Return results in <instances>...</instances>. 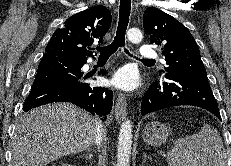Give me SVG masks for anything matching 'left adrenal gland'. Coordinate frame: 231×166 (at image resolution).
Returning a JSON list of instances; mask_svg holds the SVG:
<instances>
[{
  "instance_id": "1",
  "label": "left adrenal gland",
  "mask_w": 231,
  "mask_h": 166,
  "mask_svg": "<svg viewBox=\"0 0 231 166\" xmlns=\"http://www.w3.org/2000/svg\"><path fill=\"white\" fill-rule=\"evenodd\" d=\"M143 156H144V159H143V161H142V166H143V164L147 161V159L152 160V157L148 156L145 152H143Z\"/></svg>"
}]
</instances>
